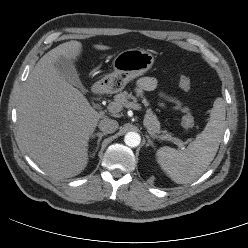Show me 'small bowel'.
<instances>
[{"label": "small bowel", "mask_w": 248, "mask_h": 248, "mask_svg": "<svg viewBox=\"0 0 248 248\" xmlns=\"http://www.w3.org/2000/svg\"><path fill=\"white\" fill-rule=\"evenodd\" d=\"M157 86V80L151 76L141 77L136 84V91L139 95H142L144 92L152 91ZM160 104L164 106L166 103H171L173 109L187 112L188 108L177 98L167 95L165 93L160 94Z\"/></svg>", "instance_id": "c3829d8e"}]
</instances>
